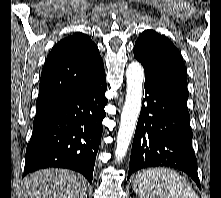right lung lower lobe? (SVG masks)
Listing matches in <instances>:
<instances>
[{"mask_svg": "<svg viewBox=\"0 0 221 198\" xmlns=\"http://www.w3.org/2000/svg\"><path fill=\"white\" fill-rule=\"evenodd\" d=\"M105 75L86 88L36 112L23 176L48 167L68 168L92 183L107 104Z\"/></svg>", "mask_w": 221, "mask_h": 198, "instance_id": "right-lung-lower-lobe-1", "label": "right lung lower lobe"}]
</instances>
